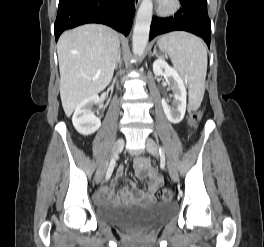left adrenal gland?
I'll return each mask as SVG.
<instances>
[{"mask_svg":"<svg viewBox=\"0 0 264 247\" xmlns=\"http://www.w3.org/2000/svg\"><path fill=\"white\" fill-rule=\"evenodd\" d=\"M154 55H155V56H158V55H157V51H156V47H154V50H153V53L151 54V56H154Z\"/></svg>","mask_w":264,"mask_h":247,"instance_id":"1","label":"left adrenal gland"}]
</instances>
